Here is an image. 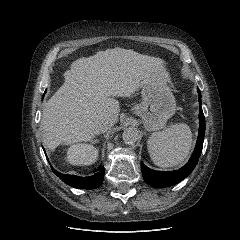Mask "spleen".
Listing matches in <instances>:
<instances>
[{
  "instance_id": "1",
  "label": "spleen",
  "mask_w": 240,
  "mask_h": 240,
  "mask_svg": "<svg viewBox=\"0 0 240 240\" xmlns=\"http://www.w3.org/2000/svg\"><path fill=\"white\" fill-rule=\"evenodd\" d=\"M192 146V132L187 124H175L150 135L147 147L155 165L167 168L181 164Z\"/></svg>"
}]
</instances>
